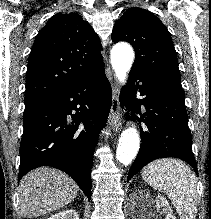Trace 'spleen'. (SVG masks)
<instances>
[{
  "label": "spleen",
  "mask_w": 211,
  "mask_h": 219,
  "mask_svg": "<svg viewBox=\"0 0 211 219\" xmlns=\"http://www.w3.org/2000/svg\"><path fill=\"white\" fill-rule=\"evenodd\" d=\"M141 175L150 186L170 198L180 219H195L197 182L189 166L176 159H160L148 164Z\"/></svg>",
  "instance_id": "3e777b00"
}]
</instances>
